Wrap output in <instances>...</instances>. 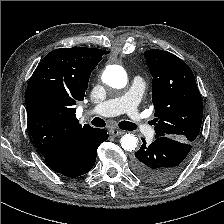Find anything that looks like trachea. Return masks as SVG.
Instances as JSON below:
<instances>
[{
	"label": "trachea",
	"instance_id": "3493384b",
	"mask_svg": "<svg viewBox=\"0 0 224 224\" xmlns=\"http://www.w3.org/2000/svg\"><path fill=\"white\" fill-rule=\"evenodd\" d=\"M91 123L96 127H104L106 125L105 121L99 117H95L91 121ZM119 128L122 130H129V131L135 130V126L129 121L119 122Z\"/></svg>",
	"mask_w": 224,
	"mask_h": 224
}]
</instances>
